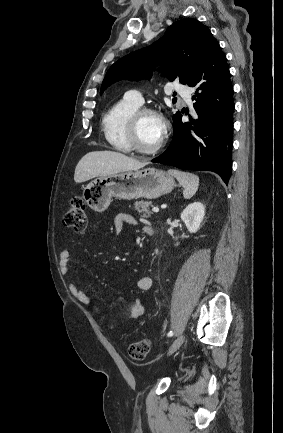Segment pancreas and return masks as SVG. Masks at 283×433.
Here are the masks:
<instances>
[{"mask_svg":"<svg viewBox=\"0 0 283 433\" xmlns=\"http://www.w3.org/2000/svg\"><path fill=\"white\" fill-rule=\"evenodd\" d=\"M134 206L135 210L142 212V217H150L151 210H149V206H153L151 200H136Z\"/></svg>","mask_w":283,"mask_h":433,"instance_id":"obj_1","label":"pancreas"}]
</instances>
